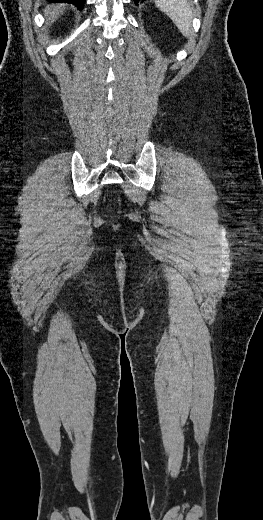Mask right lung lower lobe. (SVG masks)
Here are the masks:
<instances>
[{
	"mask_svg": "<svg viewBox=\"0 0 263 520\" xmlns=\"http://www.w3.org/2000/svg\"><path fill=\"white\" fill-rule=\"evenodd\" d=\"M50 2H67L77 6L79 10L83 8L85 0H48Z\"/></svg>",
	"mask_w": 263,
	"mask_h": 520,
	"instance_id": "98d812e1",
	"label": "right lung lower lobe"
}]
</instances>
